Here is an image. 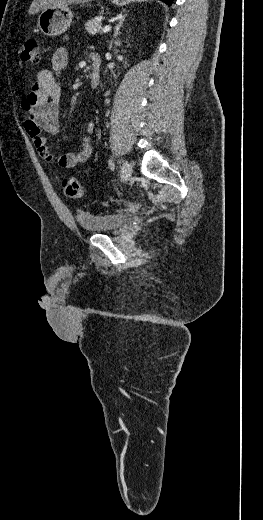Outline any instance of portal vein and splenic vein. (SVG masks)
Instances as JSON below:
<instances>
[{
	"label": "portal vein and splenic vein",
	"mask_w": 263,
	"mask_h": 520,
	"mask_svg": "<svg viewBox=\"0 0 263 520\" xmlns=\"http://www.w3.org/2000/svg\"><path fill=\"white\" fill-rule=\"evenodd\" d=\"M111 30V26L110 25H106L103 29H102V32L106 33L108 31Z\"/></svg>",
	"instance_id": "18ae733b"
}]
</instances>
